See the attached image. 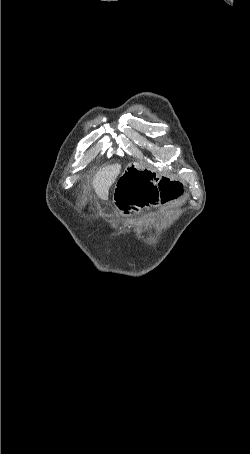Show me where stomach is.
<instances>
[{"mask_svg": "<svg viewBox=\"0 0 250 454\" xmlns=\"http://www.w3.org/2000/svg\"><path fill=\"white\" fill-rule=\"evenodd\" d=\"M121 176H157V175L153 171H150L142 167L138 163H131L126 167L125 171L122 173Z\"/></svg>", "mask_w": 250, "mask_h": 454, "instance_id": "obj_1", "label": "stomach"}]
</instances>
